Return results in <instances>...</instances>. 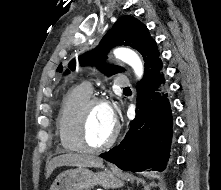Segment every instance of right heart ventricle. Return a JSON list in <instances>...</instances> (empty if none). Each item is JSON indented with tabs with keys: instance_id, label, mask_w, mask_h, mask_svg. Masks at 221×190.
<instances>
[{
	"instance_id": "right-heart-ventricle-1",
	"label": "right heart ventricle",
	"mask_w": 221,
	"mask_h": 190,
	"mask_svg": "<svg viewBox=\"0 0 221 190\" xmlns=\"http://www.w3.org/2000/svg\"><path fill=\"white\" fill-rule=\"evenodd\" d=\"M91 97L84 87L72 89L64 98L57 116V134L61 147L66 152L81 151L73 133L74 119L80 106Z\"/></svg>"
}]
</instances>
